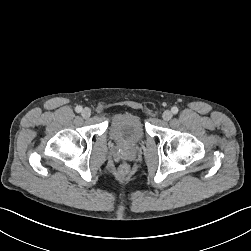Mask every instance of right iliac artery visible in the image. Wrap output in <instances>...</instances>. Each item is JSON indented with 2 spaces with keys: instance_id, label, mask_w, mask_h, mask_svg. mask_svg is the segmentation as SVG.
Returning <instances> with one entry per match:
<instances>
[{
  "instance_id": "82829eb1",
  "label": "right iliac artery",
  "mask_w": 251,
  "mask_h": 251,
  "mask_svg": "<svg viewBox=\"0 0 251 251\" xmlns=\"http://www.w3.org/2000/svg\"><path fill=\"white\" fill-rule=\"evenodd\" d=\"M75 111H76L77 113H80V112L82 111V107H81V106H77V107L75 108Z\"/></svg>"
}]
</instances>
